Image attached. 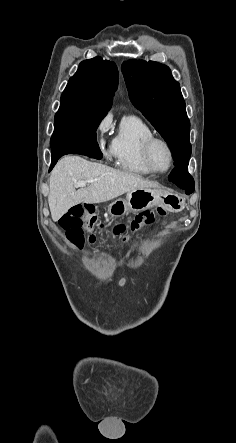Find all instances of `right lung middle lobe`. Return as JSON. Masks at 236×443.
<instances>
[{"label":"right lung middle lobe","mask_w":236,"mask_h":443,"mask_svg":"<svg viewBox=\"0 0 236 443\" xmlns=\"http://www.w3.org/2000/svg\"><path fill=\"white\" fill-rule=\"evenodd\" d=\"M106 112H80L59 108L55 115L52 150L97 145L96 129Z\"/></svg>","instance_id":"1"}]
</instances>
